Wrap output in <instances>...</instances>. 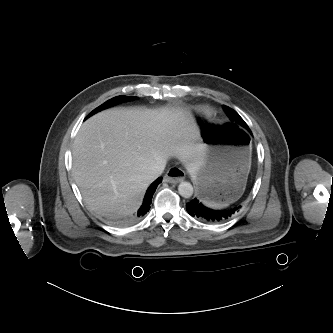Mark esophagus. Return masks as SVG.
I'll return each instance as SVG.
<instances>
[{
  "label": "esophagus",
  "instance_id": "esophagus-1",
  "mask_svg": "<svg viewBox=\"0 0 333 333\" xmlns=\"http://www.w3.org/2000/svg\"><path fill=\"white\" fill-rule=\"evenodd\" d=\"M185 177V172L180 168H171L164 176V181L168 183H178Z\"/></svg>",
  "mask_w": 333,
  "mask_h": 333
}]
</instances>
